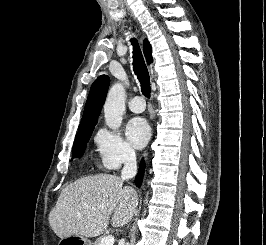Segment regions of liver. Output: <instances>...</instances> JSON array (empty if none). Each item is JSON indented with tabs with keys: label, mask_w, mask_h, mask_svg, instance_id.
I'll return each mask as SVG.
<instances>
[{
	"label": "liver",
	"mask_w": 266,
	"mask_h": 245,
	"mask_svg": "<svg viewBox=\"0 0 266 245\" xmlns=\"http://www.w3.org/2000/svg\"><path fill=\"white\" fill-rule=\"evenodd\" d=\"M120 177L94 175L82 177L62 189L49 215V225L57 237L71 235L99 237L111 227H125L138 207V195L124 187ZM103 207V209H101Z\"/></svg>",
	"instance_id": "6515ba94"
}]
</instances>
